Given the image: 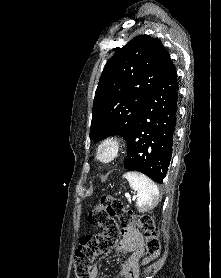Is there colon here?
Instances as JSON below:
<instances>
[{
  "mask_svg": "<svg viewBox=\"0 0 221 278\" xmlns=\"http://www.w3.org/2000/svg\"><path fill=\"white\" fill-rule=\"evenodd\" d=\"M116 218L123 226H135L142 231L145 248L149 259L157 256L160 248L158 229L151 216L135 218L133 212L124 207L123 203L112 197L104 196L89 213L88 221L100 228L98 235L84 236L75 251V278H90L94 259L98 255L109 253L120 237Z\"/></svg>",
  "mask_w": 221,
  "mask_h": 278,
  "instance_id": "1",
  "label": "colon"
}]
</instances>
